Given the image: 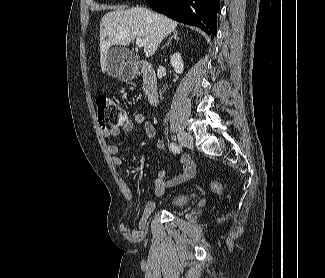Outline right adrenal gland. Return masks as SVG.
<instances>
[{"mask_svg":"<svg viewBox=\"0 0 325 278\" xmlns=\"http://www.w3.org/2000/svg\"><path fill=\"white\" fill-rule=\"evenodd\" d=\"M173 38H174L175 40H179L178 32H177L176 30L173 32V36H171V37L169 38L168 42L166 43V45H164V46L162 47V49H164L167 45H169L170 42H171V40H172Z\"/></svg>","mask_w":325,"mask_h":278,"instance_id":"right-adrenal-gland-1","label":"right adrenal gland"}]
</instances>
